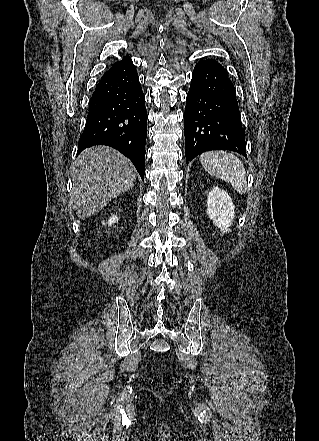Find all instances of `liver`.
Wrapping results in <instances>:
<instances>
[{
	"label": "liver",
	"instance_id": "1",
	"mask_svg": "<svg viewBox=\"0 0 319 441\" xmlns=\"http://www.w3.org/2000/svg\"><path fill=\"white\" fill-rule=\"evenodd\" d=\"M71 202L79 218L97 214L112 199L129 191L136 180V169L129 159L110 147L84 150L72 170Z\"/></svg>",
	"mask_w": 319,
	"mask_h": 441
}]
</instances>
